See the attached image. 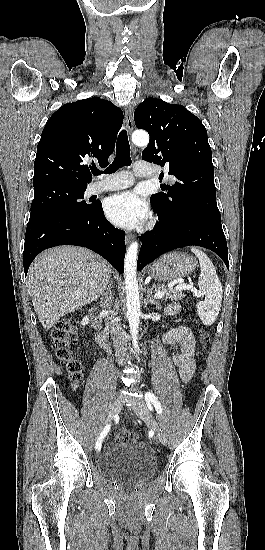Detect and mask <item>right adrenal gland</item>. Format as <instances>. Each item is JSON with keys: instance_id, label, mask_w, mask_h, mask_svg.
I'll return each mask as SVG.
<instances>
[{"instance_id": "2a0ac1e0", "label": "right adrenal gland", "mask_w": 265, "mask_h": 550, "mask_svg": "<svg viewBox=\"0 0 265 550\" xmlns=\"http://www.w3.org/2000/svg\"><path fill=\"white\" fill-rule=\"evenodd\" d=\"M112 284L113 282L110 281L109 285L107 286L106 288V291L102 294V298L101 299H106L105 303L107 304L111 298H112Z\"/></svg>"}]
</instances>
